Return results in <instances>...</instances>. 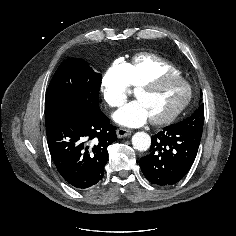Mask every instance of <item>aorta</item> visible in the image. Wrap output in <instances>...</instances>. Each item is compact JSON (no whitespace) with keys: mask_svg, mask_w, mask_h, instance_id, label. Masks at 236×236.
<instances>
[{"mask_svg":"<svg viewBox=\"0 0 236 236\" xmlns=\"http://www.w3.org/2000/svg\"><path fill=\"white\" fill-rule=\"evenodd\" d=\"M132 145L138 151H146L151 145V138L145 132H137L132 136Z\"/></svg>","mask_w":236,"mask_h":236,"instance_id":"aorta-1","label":"aorta"}]
</instances>
